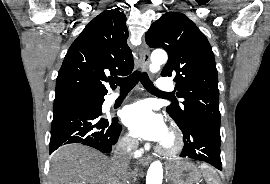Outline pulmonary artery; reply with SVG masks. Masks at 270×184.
<instances>
[{"instance_id":"e3ab8cb5","label":"pulmonary artery","mask_w":270,"mask_h":184,"mask_svg":"<svg viewBox=\"0 0 270 184\" xmlns=\"http://www.w3.org/2000/svg\"><path fill=\"white\" fill-rule=\"evenodd\" d=\"M157 89L163 93H168L174 89L172 81L168 78H160L157 81ZM118 98V95H112L110 101L113 102Z\"/></svg>"}]
</instances>
